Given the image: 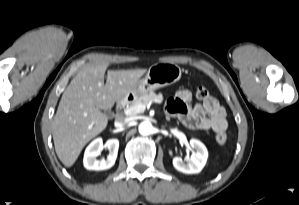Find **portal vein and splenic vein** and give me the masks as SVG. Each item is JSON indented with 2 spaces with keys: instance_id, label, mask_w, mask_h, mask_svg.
Masks as SVG:
<instances>
[{
  "instance_id": "18ae733b",
  "label": "portal vein and splenic vein",
  "mask_w": 299,
  "mask_h": 205,
  "mask_svg": "<svg viewBox=\"0 0 299 205\" xmlns=\"http://www.w3.org/2000/svg\"><path fill=\"white\" fill-rule=\"evenodd\" d=\"M145 109H146V105L139 104V105L135 106L134 108L125 110V114L126 115L137 114V113L143 112Z\"/></svg>"
}]
</instances>
